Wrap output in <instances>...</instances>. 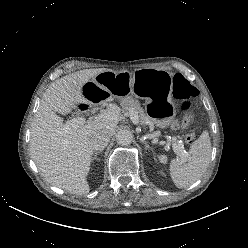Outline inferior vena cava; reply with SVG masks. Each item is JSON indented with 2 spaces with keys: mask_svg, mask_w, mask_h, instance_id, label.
<instances>
[{
  "mask_svg": "<svg viewBox=\"0 0 248 248\" xmlns=\"http://www.w3.org/2000/svg\"><path fill=\"white\" fill-rule=\"evenodd\" d=\"M110 138L111 134L108 131H99L91 137L90 145L93 150H103L108 145Z\"/></svg>",
  "mask_w": 248,
  "mask_h": 248,
  "instance_id": "602c4592",
  "label": "inferior vena cava"
}]
</instances>
